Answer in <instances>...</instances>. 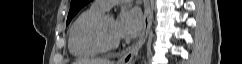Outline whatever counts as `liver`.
<instances>
[{"mask_svg":"<svg viewBox=\"0 0 242 64\" xmlns=\"http://www.w3.org/2000/svg\"><path fill=\"white\" fill-rule=\"evenodd\" d=\"M75 64H113L111 61L107 59H86V60H80L76 61Z\"/></svg>","mask_w":242,"mask_h":64,"instance_id":"1","label":"liver"}]
</instances>
